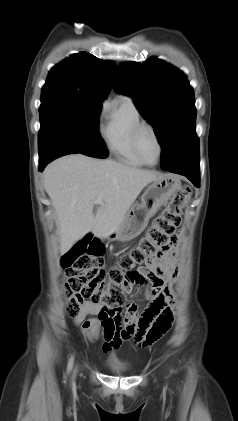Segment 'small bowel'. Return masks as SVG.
Wrapping results in <instances>:
<instances>
[{
	"label": "small bowel",
	"instance_id": "obj_1",
	"mask_svg": "<svg viewBox=\"0 0 238 421\" xmlns=\"http://www.w3.org/2000/svg\"><path fill=\"white\" fill-rule=\"evenodd\" d=\"M178 260L179 251L175 239L158 259L132 272L133 288L143 287L148 301L142 312L138 304L130 303L126 306L125 315L122 317L119 312L115 313L112 324L108 326L99 319H86L88 315H98L101 307L85 302L80 314L74 318V324L80 326L89 340L102 338L103 350L106 352L117 349L123 341L130 338H134L140 345H150L155 340H148V335L155 331H162L161 335L164 334L173 319Z\"/></svg>",
	"mask_w": 238,
	"mask_h": 421
}]
</instances>
